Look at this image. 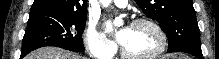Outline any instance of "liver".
I'll return each mask as SVG.
<instances>
[{"label":"liver","mask_w":219,"mask_h":59,"mask_svg":"<svg viewBox=\"0 0 219 59\" xmlns=\"http://www.w3.org/2000/svg\"><path fill=\"white\" fill-rule=\"evenodd\" d=\"M25 59H86L72 52L56 48L43 47L28 54Z\"/></svg>","instance_id":"1"}]
</instances>
